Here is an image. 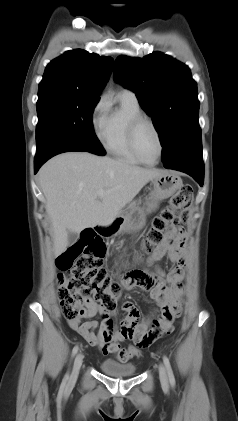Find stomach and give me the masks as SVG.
<instances>
[{
  "instance_id": "0dacf381",
  "label": "stomach",
  "mask_w": 238,
  "mask_h": 421,
  "mask_svg": "<svg viewBox=\"0 0 238 421\" xmlns=\"http://www.w3.org/2000/svg\"><path fill=\"white\" fill-rule=\"evenodd\" d=\"M153 187L146 204L153 201H159L172 196L176 191L181 189L183 183L178 174L173 171H164L159 176L151 180ZM146 222V214L144 208L133 207L130 212L120 219L114 220L108 227L109 233L114 234L122 231H138L143 228Z\"/></svg>"
}]
</instances>
